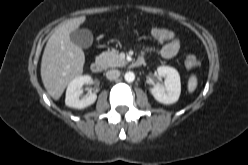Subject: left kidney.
Masks as SVG:
<instances>
[{"label": "left kidney", "mask_w": 248, "mask_h": 165, "mask_svg": "<svg viewBox=\"0 0 248 165\" xmlns=\"http://www.w3.org/2000/svg\"><path fill=\"white\" fill-rule=\"evenodd\" d=\"M159 76L165 77V87L156 85L150 88L152 96L160 103L173 104L177 102L181 93L180 76L176 69L169 66L157 68Z\"/></svg>", "instance_id": "left-kidney-1"}]
</instances>
